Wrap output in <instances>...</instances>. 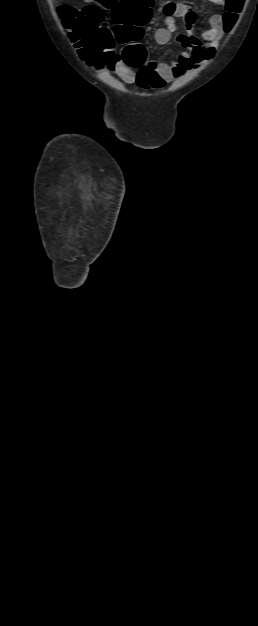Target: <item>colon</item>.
<instances>
[{
    "instance_id": "5ec220e1",
    "label": "colon",
    "mask_w": 258,
    "mask_h": 626,
    "mask_svg": "<svg viewBox=\"0 0 258 626\" xmlns=\"http://www.w3.org/2000/svg\"><path fill=\"white\" fill-rule=\"evenodd\" d=\"M154 0H96L81 9L71 5L58 8L64 26L78 50L80 57L90 65L102 67L115 56V43L128 44L123 60L132 66H141L146 59L143 45L136 43L143 33L142 27L151 16ZM244 0H226L223 23L229 30L235 23ZM114 11L117 23L114 34L104 21L101 9Z\"/></svg>"
}]
</instances>
